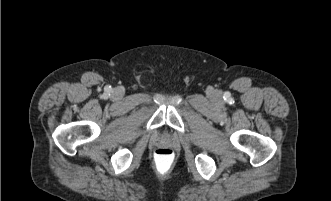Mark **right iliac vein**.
<instances>
[{
    "mask_svg": "<svg viewBox=\"0 0 331 201\" xmlns=\"http://www.w3.org/2000/svg\"><path fill=\"white\" fill-rule=\"evenodd\" d=\"M114 93L116 97H121L123 94L122 89L120 88H117Z\"/></svg>",
    "mask_w": 331,
    "mask_h": 201,
    "instance_id": "obj_1",
    "label": "right iliac vein"
}]
</instances>
